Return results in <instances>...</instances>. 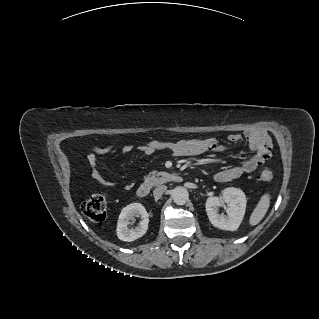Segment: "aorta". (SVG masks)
I'll list each match as a JSON object with an SVG mask.
<instances>
[{"label": "aorta", "mask_w": 319, "mask_h": 319, "mask_svg": "<svg viewBox=\"0 0 319 319\" xmlns=\"http://www.w3.org/2000/svg\"><path fill=\"white\" fill-rule=\"evenodd\" d=\"M171 196L177 205H184L189 198V193L186 188L178 186L172 190Z\"/></svg>", "instance_id": "762f6f07"}]
</instances>
